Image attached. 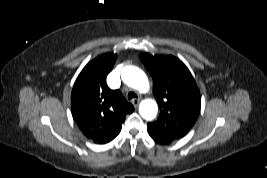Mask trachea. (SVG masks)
<instances>
[{
	"label": "trachea",
	"mask_w": 267,
	"mask_h": 178,
	"mask_svg": "<svg viewBox=\"0 0 267 178\" xmlns=\"http://www.w3.org/2000/svg\"><path fill=\"white\" fill-rule=\"evenodd\" d=\"M127 97H128V100H130L132 98H137V95L134 92H129Z\"/></svg>",
	"instance_id": "trachea-1"
}]
</instances>
